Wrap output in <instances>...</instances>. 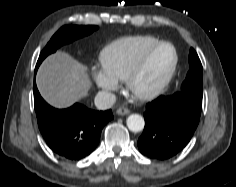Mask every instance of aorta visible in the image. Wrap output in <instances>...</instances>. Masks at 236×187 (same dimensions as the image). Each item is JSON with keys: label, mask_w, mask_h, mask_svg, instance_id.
I'll use <instances>...</instances> for the list:
<instances>
[{"label": "aorta", "mask_w": 236, "mask_h": 187, "mask_svg": "<svg viewBox=\"0 0 236 187\" xmlns=\"http://www.w3.org/2000/svg\"><path fill=\"white\" fill-rule=\"evenodd\" d=\"M127 127L132 132H140L143 130L145 122L144 118L139 114H131L128 116L127 120Z\"/></svg>", "instance_id": "1"}]
</instances>
